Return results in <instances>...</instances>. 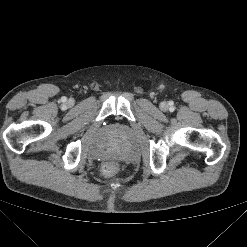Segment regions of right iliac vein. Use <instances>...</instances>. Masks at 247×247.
<instances>
[{
  "mask_svg": "<svg viewBox=\"0 0 247 247\" xmlns=\"http://www.w3.org/2000/svg\"><path fill=\"white\" fill-rule=\"evenodd\" d=\"M68 103L71 105V104H73V101H72V100H69V102H68Z\"/></svg>",
  "mask_w": 247,
  "mask_h": 247,
  "instance_id": "obj_1",
  "label": "right iliac vein"
}]
</instances>
